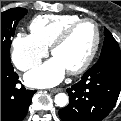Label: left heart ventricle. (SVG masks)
<instances>
[{"instance_id":"obj_1","label":"left heart ventricle","mask_w":121,"mask_h":121,"mask_svg":"<svg viewBox=\"0 0 121 121\" xmlns=\"http://www.w3.org/2000/svg\"><path fill=\"white\" fill-rule=\"evenodd\" d=\"M94 40V27L90 23H84L75 29L69 39L55 51L54 56L66 71L72 70L85 60Z\"/></svg>"}]
</instances>
